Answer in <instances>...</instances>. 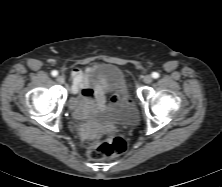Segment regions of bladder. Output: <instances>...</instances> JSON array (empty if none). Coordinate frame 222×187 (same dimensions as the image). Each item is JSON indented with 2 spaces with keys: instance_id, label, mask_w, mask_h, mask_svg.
Segmentation results:
<instances>
[{
  "instance_id": "31cf9c89",
  "label": "bladder",
  "mask_w": 222,
  "mask_h": 187,
  "mask_svg": "<svg viewBox=\"0 0 222 187\" xmlns=\"http://www.w3.org/2000/svg\"><path fill=\"white\" fill-rule=\"evenodd\" d=\"M92 86H103L118 96V101L96 111H84L79 107V98L70 101V114L77 122L104 121L114 126H130L139 119L128 83L121 69L111 63L97 64L87 73Z\"/></svg>"
}]
</instances>
